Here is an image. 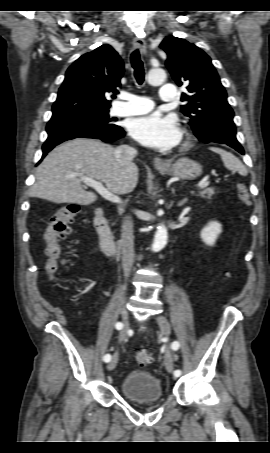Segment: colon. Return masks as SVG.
Here are the masks:
<instances>
[{"label":"colon","instance_id":"5ec220e1","mask_svg":"<svg viewBox=\"0 0 270 453\" xmlns=\"http://www.w3.org/2000/svg\"><path fill=\"white\" fill-rule=\"evenodd\" d=\"M236 192L241 204L248 207L250 205V194L247 186L238 182ZM79 210V205L69 203L62 206L50 219L44 240L47 256L46 271L51 278L58 273L60 265L64 262L63 241L70 234L71 225L76 221ZM136 361L142 367L147 366L152 362V355L147 350H139L136 353Z\"/></svg>","mask_w":270,"mask_h":453}]
</instances>
